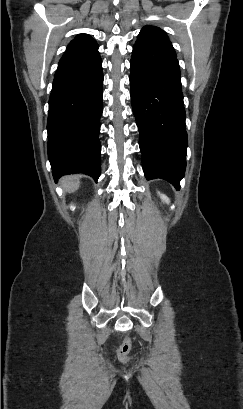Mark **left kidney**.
Masks as SVG:
<instances>
[{
  "mask_svg": "<svg viewBox=\"0 0 243 409\" xmlns=\"http://www.w3.org/2000/svg\"><path fill=\"white\" fill-rule=\"evenodd\" d=\"M158 194H159V196H160V198H161V200H162L163 202L169 203V199H168L167 196H165L164 194H160V193H158Z\"/></svg>",
  "mask_w": 243,
  "mask_h": 409,
  "instance_id": "left-kidney-1",
  "label": "left kidney"
}]
</instances>
